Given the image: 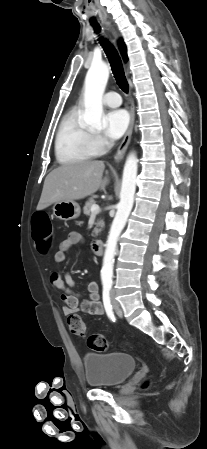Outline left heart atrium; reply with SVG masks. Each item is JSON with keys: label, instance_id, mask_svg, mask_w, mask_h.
I'll list each match as a JSON object with an SVG mask.
<instances>
[{"label": "left heart atrium", "instance_id": "obj_1", "mask_svg": "<svg viewBox=\"0 0 207 449\" xmlns=\"http://www.w3.org/2000/svg\"><path fill=\"white\" fill-rule=\"evenodd\" d=\"M105 134L115 140L120 138L128 128L129 115L125 110H113L105 115Z\"/></svg>", "mask_w": 207, "mask_h": 449}]
</instances>
